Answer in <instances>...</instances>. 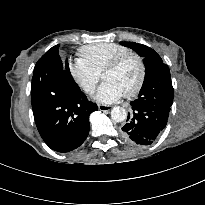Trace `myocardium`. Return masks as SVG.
<instances>
[{
  "instance_id": "1",
  "label": "myocardium",
  "mask_w": 205,
  "mask_h": 205,
  "mask_svg": "<svg viewBox=\"0 0 205 205\" xmlns=\"http://www.w3.org/2000/svg\"><path fill=\"white\" fill-rule=\"evenodd\" d=\"M129 59L136 60L138 67H139V75H138V79H137L135 85L130 90L125 92L126 97H133V96L137 95L140 92V90L142 89L144 82H145V79H146V73H147L145 61H144L143 57L140 56L139 54L134 53V52H128V53H125V54H122V55L116 57L115 59H113L111 62H109L104 67V69L102 70L101 76L103 78V75L106 72L116 70L124 62H126Z\"/></svg>"
}]
</instances>
